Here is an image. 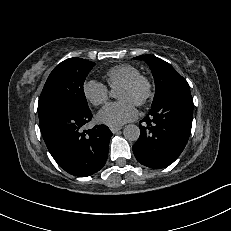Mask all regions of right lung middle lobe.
I'll return each instance as SVG.
<instances>
[{
	"label": "right lung middle lobe",
	"mask_w": 231,
	"mask_h": 231,
	"mask_svg": "<svg viewBox=\"0 0 231 231\" xmlns=\"http://www.w3.org/2000/svg\"><path fill=\"white\" fill-rule=\"evenodd\" d=\"M95 66L81 58H69L50 73L38 102L39 119L64 108L88 110L83 84Z\"/></svg>",
	"instance_id": "right-lung-middle-lobe-1"
}]
</instances>
